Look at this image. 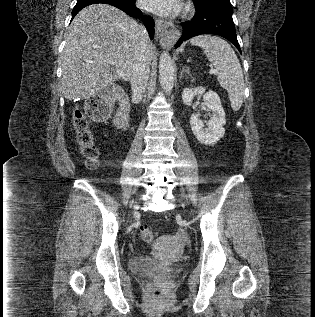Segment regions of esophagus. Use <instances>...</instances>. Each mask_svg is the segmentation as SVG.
I'll list each match as a JSON object with an SVG mask.
<instances>
[{
	"label": "esophagus",
	"mask_w": 315,
	"mask_h": 317,
	"mask_svg": "<svg viewBox=\"0 0 315 317\" xmlns=\"http://www.w3.org/2000/svg\"><path fill=\"white\" fill-rule=\"evenodd\" d=\"M155 35L163 47H171L179 38V30L167 21L155 19Z\"/></svg>",
	"instance_id": "1"
}]
</instances>
